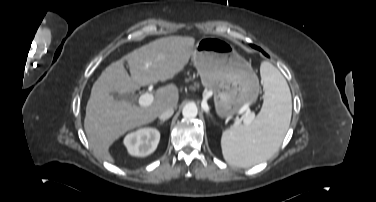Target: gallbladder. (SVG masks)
Here are the masks:
<instances>
[{"label": "gallbladder", "instance_id": "bac80fb5", "mask_svg": "<svg viewBox=\"0 0 376 202\" xmlns=\"http://www.w3.org/2000/svg\"><path fill=\"white\" fill-rule=\"evenodd\" d=\"M112 95L117 100H128L129 99V95L128 94L112 93Z\"/></svg>", "mask_w": 376, "mask_h": 202}]
</instances>
